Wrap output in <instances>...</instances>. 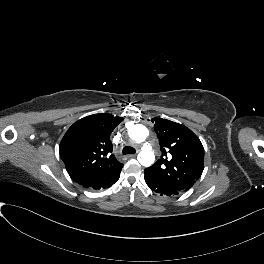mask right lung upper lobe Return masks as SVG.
Masks as SVG:
<instances>
[{
  "instance_id": "cb5924a9",
  "label": "right lung upper lobe",
  "mask_w": 264,
  "mask_h": 264,
  "mask_svg": "<svg viewBox=\"0 0 264 264\" xmlns=\"http://www.w3.org/2000/svg\"><path fill=\"white\" fill-rule=\"evenodd\" d=\"M124 119L94 114L75 122L64 135L59 153L70 177L89 188L114 174L123 164L112 154L110 135Z\"/></svg>"
}]
</instances>
